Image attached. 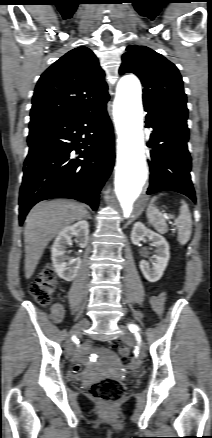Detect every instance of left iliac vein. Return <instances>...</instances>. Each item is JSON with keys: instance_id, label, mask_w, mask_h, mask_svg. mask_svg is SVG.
<instances>
[{"instance_id": "obj_1", "label": "left iliac vein", "mask_w": 212, "mask_h": 438, "mask_svg": "<svg viewBox=\"0 0 212 438\" xmlns=\"http://www.w3.org/2000/svg\"><path fill=\"white\" fill-rule=\"evenodd\" d=\"M122 340L128 342V343H132L133 341V334L129 331L125 332L122 336H121ZM140 347H141V352H142V356H145V344L143 342H140Z\"/></svg>"}]
</instances>
